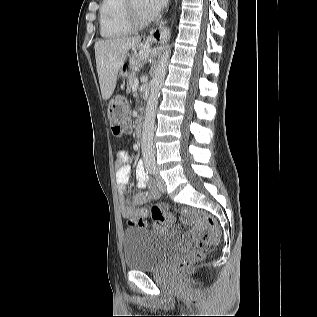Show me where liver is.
Wrapping results in <instances>:
<instances>
[{"instance_id":"1","label":"liver","mask_w":317,"mask_h":317,"mask_svg":"<svg viewBox=\"0 0 317 317\" xmlns=\"http://www.w3.org/2000/svg\"><path fill=\"white\" fill-rule=\"evenodd\" d=\"M140 37H121L98 40L95 45V58L102 98L108 100L116 87L117 75L132 48L140 46Z\"/></svg>"}]
</instances>
